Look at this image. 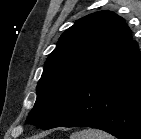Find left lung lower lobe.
<instances>
[{"label":"left lung lower lobe","mask_w":141,"mask_h":139,"mask_svg":"<svg viewBox=\"0 0 141 139\" xmlns=\"http://www.w3.org/2000/svg\"><path fill=\"white\" fill-rule=\"evenodd\" d=\"M86 126L141 139V54L132 40L89 75L44 126Z\"/></svg>","instance_id":"0a47b994"}]
</instances>
